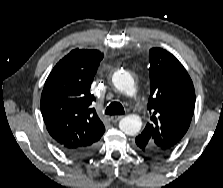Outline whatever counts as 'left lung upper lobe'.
Returning <instances> with one entry per match:
<instances>
[{
	"label": "left lung upper lobe",
	"instance_id": "1",
	"mask_svg": "<svg viewBox=\"0 0 223 188\" xmlns=\"http://www.w3.org/2000/svg\"><path fill=\"white\" fill-rule=\"evenodd\" d=\"M150 85L147 108L151 120L137 138L164 155L175 148L190 126L195 91L183 65L161 48L150 50Z\"/></svg>",
	"mask_w": 223,
	"mask_h": 188
}]
</instances>
